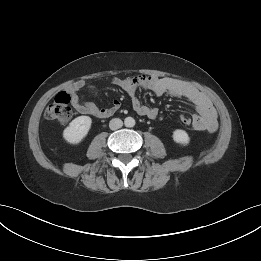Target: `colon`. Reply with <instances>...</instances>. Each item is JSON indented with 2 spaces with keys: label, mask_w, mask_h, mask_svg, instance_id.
Instances as JSON below:
<instances>
[{
  "label": "colon",
  "mask_w": 261,
  "mask_h": 261,
  "mask_svg": "<svg viewBox=\"0 0 261 261\" xmlns=\"http://www.w3.org/2000/svg\"><path fill=\"white\" fill-rule=\"evenodd\" d=\"M70 95L66 92H60L56 95L54 101L46 108L45 117L48 120L59 123H66L72 117V110L70 108ZM181 122L184 125H191L192 118L182 116Z\"/></svg>",
  "instance_id": "obj_1"
}]
</instances>
